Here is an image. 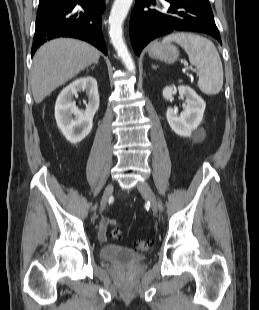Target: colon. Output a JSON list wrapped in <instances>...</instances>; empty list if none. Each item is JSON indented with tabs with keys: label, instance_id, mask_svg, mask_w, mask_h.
<instances>
[{
	"label": "colon",
	"instance_id": "colon-1",
	"mask_svg": "<svg viewBox=\"0 0 259 310\" xmlns=\"http://www.w3.org/2000/svg\"><path fill=\"white\" fill-rule=\"evenodd\" d=\"M104 222L107 226L113 227V229L111 230L112 238L113 239H119L121 237L122 233H121L120 229L115 227L116 226V220L109 218V219H106ZM150 247H151V242L146 241V240H141V241H138L135 243L134 250L137 252H146L150 249Z\"/></svg>",
	"mask_w": 259,
	"mask_h": 310
}]
</instances>
